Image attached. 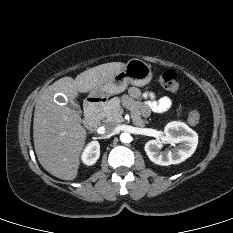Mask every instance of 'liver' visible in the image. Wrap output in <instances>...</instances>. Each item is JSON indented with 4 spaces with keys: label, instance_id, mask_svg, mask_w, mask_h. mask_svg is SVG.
<instances>
[{
    "label": "liver",
    "instance_id": "1",
    "mask_svg": "<svg viewBox=\"0 0 233 233\" xmlns=\"http://www.w3.org/2000/svg\"><path fill=\"white\" fill-rule=\"evenodd\" d=\"M124 66L121 62L101 64L80 73L75 79L63 77L41 89L34 111V148L42 167L53 176L62 180L77 177L87 137L80 114L69 105L56 103L55 93L65 94L69 103H74L79 93L93 91L111 81Z\"/></svg>",
    "mask_w": 233,
    "mask_h": 233
}]
</instances>
